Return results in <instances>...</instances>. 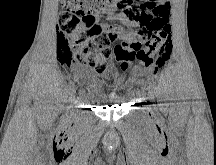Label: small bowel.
Segmentation results:
<instances>
[{
	"mask_svg": "<svg viewBox=\"0 0 216 165\" xmlns=\"http://www.w3.org/2000/svg\"><path fill=\"white\" fill-rule=\"evenodd\" d=\"M170 8L169 0H141L140 2H128V5H119L116 9L115 14H112L113 6L107 9L110 13V20L119 23L118 25H111L109 23L103 22L102 27L107 34L110 42H115L118 39L124 41L134 40L136 38V32L146 26V21L135 19L129 15V13H146L148 15L156 16L157 9L168 10ZM123 27L131 29V31H126ZM122 69H126V65L122 66ZM75 73H80L78 69ZM91 81L90 91L92 93L100 92L99 84L90 76L85 75Z\"/></svg>",
	"mask_w": 216,
	"mask_h": 165,
	"instance_id": "obj_1",
	"label": "small bowel"
}]
</instances>
